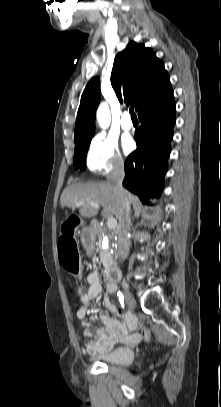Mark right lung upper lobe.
<instances>
[{
    "mask_svg": "<svg viewBox=\"0 0 221 407\" xmlns=\"http://www.w3.org/2000/svg\"><path fill=\"white\" fill-rule=\"evenodd\" d=\"M111 84L119 101L133 103L136 111L171 86L163 63L152 49L133 41L115 57ZM99 101L100 81L98 77H94L81 96L75 125V144L94 136L95 113Z\"/></svg>",
    "mask_w": 221,
    "mask_h": 407,
    "instance_id": "obj_1",
    "label": "right lung upper lobe"
}]
</instances>
